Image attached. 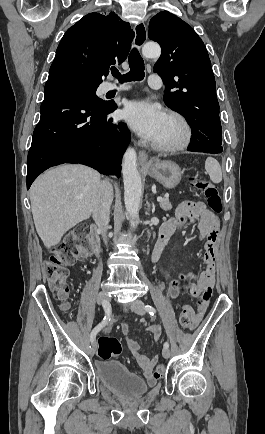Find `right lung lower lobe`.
I'll list each match as a JSON object with an SVG mask.
<instances>
[{"label": "right lung lower lobe", "instance_id": "98d812e1", "mask_svg": "<svg viewBox=\"0 0 265 434\" xmlns=\"http://www.w3.org/2000/svg\"><path fill=\"white\" fill-rule=\"evenodd\" d=\"M44 93L28 153L27 189L40 173L63 163H80L120 177L130 133L124 123L107 118L117 104L104 101L98 106L81 82L64 79H48Z\"/></svg>", "mask_w": 265, "mask_h": 434}]
</instances>
